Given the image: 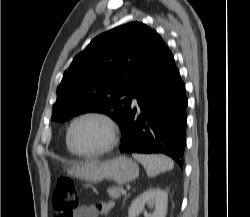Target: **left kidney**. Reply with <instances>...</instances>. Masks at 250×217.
I'll return each mask as SVG.
<instances>
[{"label": "left kidney", "instance_id": "obj_1", "mask_svg": "<svg viewBox=\"0 0 250 217\" xmlns=\"http://www.w3.org/2000/svg\"><path fill=\"white\" fill-rule=\"evenodd\" d=\"M145 205L152 208L153 212H143ZM167 205L168 194L165 190L149 188L133 200L128 214L129 217H136L143 212L145 217H166Z\"/></svg>", "mask_w": 250, "mask_h": 217}]
</instances>
